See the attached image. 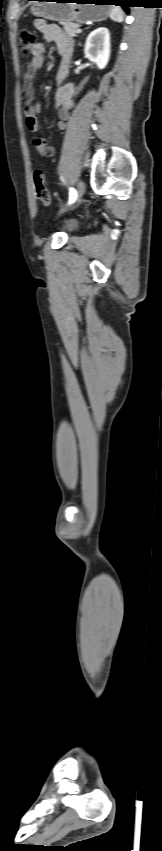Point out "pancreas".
Masks as SVG:
<instances>
[{
    "mask_svg": "<svg viewBox=\"0 0 162 851\" xmlns=\"http://www.w3.org/2000/svg\"><path fill=\"white\" fill-rule=\"evenodd\" d=\"M62 25H63V29H64L65 33L67 35L71 36V37H74V36L77 35L78 29L80 27L79 24L72 23V22H69V23L64 22V23H62Z\"/></svg>",
    "mask_w": 162,
    "mask_h": 851,
    "instance_id": "1",
    "label": "pancreas"
}]
</instances>
